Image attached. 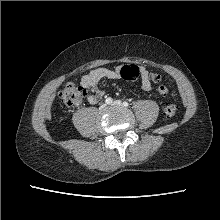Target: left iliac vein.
Segmentation results:
<instances>
[{
	"instance_id": "1",
	"label": "left iliac vein",
	"mask_w": 220,
	"mask_h": 220,
	"mask_svg": "<svg viewBox=\"0 0 220 220\" xmlns=\"http://www.w3.org/2000/svg\"><path fill=\"white\" fill-rule=\"evenodd\" d=\"M112 105L116 106V107H121L122 106V102L120 100H116V101L113 102Z\"/></svg>"
}]
</instances>
